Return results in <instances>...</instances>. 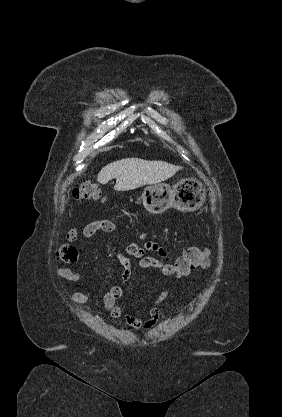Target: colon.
<instances>
[{"label":"colon","mask_w":282,"mask_h":417,"mask_svg":"<svg viewBox=\"0 0 282 417\" xmlns=\"http://www.w3.org/2000/svg\"><path fill=\"white\" fill-rule=\"evenodd\" d=\"M73 196L77 200H100L102 199L101 186L95 182L85 181L75 188ZM59 260L66 263H75L78 258V251L75 247L63 244L58 253ZM176 266L161 265L162 271L169 275L184 277L194 270L198 265L207 267L209 257L207 249L189 248L183 255L177 257Z\"/></svg>","instance_id":"5ec220e1"}]
</instances>
